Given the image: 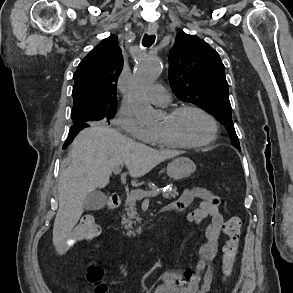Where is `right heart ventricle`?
Here are the masks:
<instances>
[{
	"label": "right heart ventricle",
	"mask_w": 293,
	"mask_h": 293,
	"mask_svg": "<svg viewBox=\"0 0 293 293\" xmlns=\"http://www.w3.org/2000/svg\"><path fill=\"white\" fill-rule=\"evenodd\" d=\"M150 143L153 146L163 148V149H170V148H175L176 147L175 145L170 144L167 141L163 140L159 135H154V138Z\"/></svg>",
	"instance_id": "1"
}]
</instances>
